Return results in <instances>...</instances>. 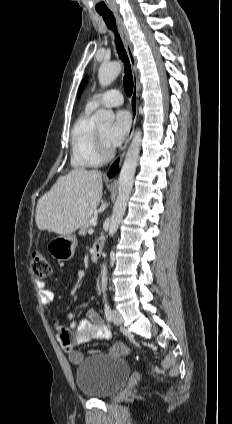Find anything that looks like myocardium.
<instances>
[{
  "label": "myocardium",
  "mask_w": 232,
  "mask_h": 424,
  "mask_svg": "<svg viewBox=\"0 0 232 424\" xmlns=\"http://www.w3.org/2000/svg\"><path fill=\"white\" fill-rule=\"evenodd\" d=\"M95 136L99 156L104 161L111 159L114 155V150L106 144L98 128H96Z\"/></svg>",
  "instance_id": "1"
}]
</instances>
